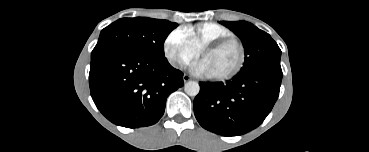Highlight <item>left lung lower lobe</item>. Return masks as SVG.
I'll use <instances>...</instances> for the list:
<instances>
[{"label":"left lung lower lobe","instance_id":"1","mask_svg":"<svg viewBox=\"0 0 369 152\" xmlns=\"http://www.w3.org/2000/svg\"><path fill=\"white\" fill-rule=\"evenodd\" d=\"M282 72H257L231 81L199 83L194 114L199 124L222 136L245 134L258 127L272 110Z\"/></svg>","mask_w":369,"mask_h":152}]
</instances>
